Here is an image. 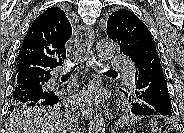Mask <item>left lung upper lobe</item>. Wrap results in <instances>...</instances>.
Here are the masks:
<instances>
[{
    "instance_id": "1",
    "label": "left lung upper lobe",
    "mask_w": 184,
    "mask_h": 133,
    "mask_svg": "<svg viewBox=\"0 0 184 133\" xmlns=\"http://www.w3.org/2000/svg\"><path fill=\"white\" fill-rule=\"evenodd\" d=\"M107 34L110 39L119 45L120 53L129 56L135 63L136 84L138 78V64L144 57H153V55H158L150 31L133 12L126 9H119L113 12L108 18ZM124 92L128 91H123V93ZM130 94L132 93H129V97ZM129 100L132 103V97L131 99L129 98Z\"/></svg>"
}]
</instances>
